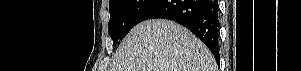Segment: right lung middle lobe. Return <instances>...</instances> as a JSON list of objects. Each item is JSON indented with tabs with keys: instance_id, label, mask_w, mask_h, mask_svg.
I'll return each instance as SVG.
<instances>
[{
	"instance_id": "obj_1",
	"label": "right lung middle lobe",
	"mask_w": 301,
	"mask_h": 71,
	"mask_svg": "<svg viewBox=\"0 0 301 71\" xmlns=\"http://www.w3.org/2000/svg\"><path fill=\"white\" fill-rule=\"evenodd\" d=\"M156 0H109V35L115 45L140 21V16Z\"/></svg>"
}]
</instances>
